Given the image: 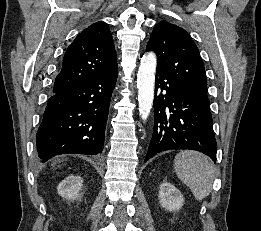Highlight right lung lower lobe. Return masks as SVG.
<instances>
[{
  "instance_id": "obj_1",
  "label": "right lung lower lobe",
  "mask_w": 261,
  "mask_h": 231,
  "mask_svg": "<svg viewBox=\"0 0 261 231\" xmlns=\"http://www.w3.org/2000/svg\"><path fill=\"white\" fill-rule=\"evenodd\" d=\"M117 75L116 66L97 78L49 98L36 137L41 162L60 154L102 153Z\"/></svg>"
}]
</instances>
